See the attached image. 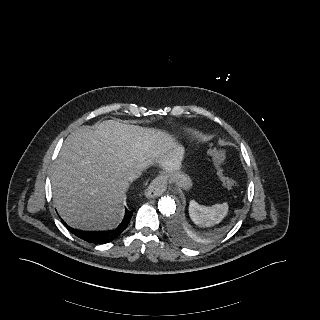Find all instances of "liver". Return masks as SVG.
<instances>
[{"label":"liver","instance_id":"obj_1","mask_svg":"<svg viewBox=\"0 0 320 320\" xmlns=\"http://www.w3.org/2000/svg\"><path fill=\"white\" fill-rule=\"evenodd\" d=\"M166 132L106 120L82 126L65 140L51 176L55 207L62 219L80 230L112 227L121 215L130 170L158 161L176 168L182 148L170 150Z\"/></svg>","mask_w":320,"mask_h":320}]
</instances>
